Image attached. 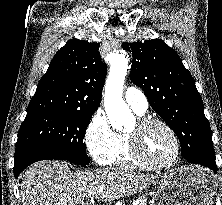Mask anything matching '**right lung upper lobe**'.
Listing matches in <instances>:
<instances>
[{"label": "right lung upper lobe", "instance_id": "obj_1", "mask_svg": "<svg viewBox=\"0 0 222 205\" xmlns=\"http://www.w3.org/2000/svg\"><path fill=\"white\" fill-rule=\"evenodd\" d=\"M99 43L71 39L51 61L38 83L27 115L54 110L95 112L106 78Z\"/></svg>", "mask_w": 222, "mask_h": 205}]
</instances>
